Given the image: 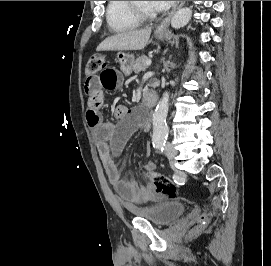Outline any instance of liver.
Here are the masks:
<instances>
[{
	"instance_id": "1",
	"label": "liver",
	"mask_w": 271,
	"mask_h": 266,
	"mask_svg": "<svg viewBox=\"0 0 271 266\" xmlns=\"http://www.w3.org/2000/svg\"><path fill=\"white\" fill-rule=\"evenodd\" d=\"M151 32V28H144L115 34L101 42L97 51L142 50L148 44Z\"/></svg>"
}]
</instances>
